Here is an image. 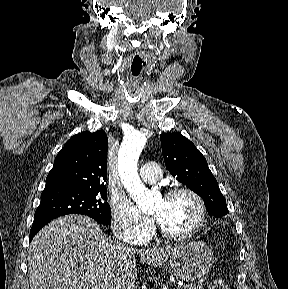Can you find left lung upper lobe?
<instances>
[{
    "label": "left lung upper lobe",
    "instance_id": "5c2ea615",
    "mask_svg": "<svg viewBox=\"0 0 288 289\" xmlns=\"http://www.w3.org/2000/svg\"><path fill=\"white\" fill-rule=\"evenodd\" d=\"M160 140L169 172L204 200L209 214L215 217L228 214L217 180L195 145L180 133H163Z\"/></svg>",
    "mask_w": 288,
    "mask_h": 289
}]
</instances>
